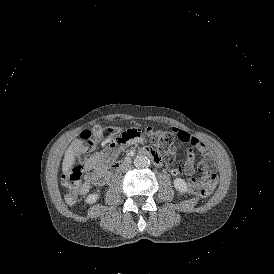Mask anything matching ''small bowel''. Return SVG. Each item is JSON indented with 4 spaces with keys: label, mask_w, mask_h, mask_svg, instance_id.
I'll return each instance as SVG.
<instances>
[{
    "label": "small bowel",
    "mask_w": 274,
    "mask_h": 274,
    "mask_svg": "<svg viewBox=\"0 0 274 274\" xmlns=\"http://www.w3.org/2000/svg\"><path fill=\"white\" fill-rule=\"evenodd\" d=\"M167 132L170 136H173L174 138H179L180 141L191 144V146H189L188 148L191 152L194 151V147H196L201 152H204L206 150V147L201 140L190 135L186 131L176 130L173 125H168ZM133 142L140 145L145 144V141L141 136L136 138ZM125 145L116 146L112 144L106 150L96 152L87 159L84 164L83 179L79 188V191L82 195L90 194L92 192V186L102 187L108 183L111 178L113 166L116 163L115 159L124 149ZM200 157L204 160L207 156L203 153ZM193 160V155L189 154L187 159L184 158L180 162L181 165L184 166L183 169L179 167H169L168 171L172 175H178L183 172L187 176H192L195 172ZM204 166L205 168L202 166L197 167V172H201L205 175L208 172L207 169H209L211 182H217L219 176L216 173L215 169L212 168V164L207 162Z\"/></svg>",
    "instance_id": "c3829d8e"
}]
</instances>
